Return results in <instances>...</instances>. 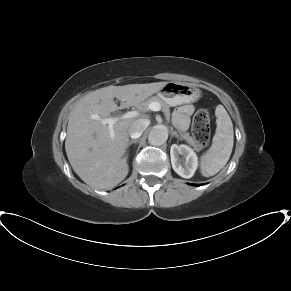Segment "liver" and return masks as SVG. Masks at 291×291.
Wrapping results in <instances>:
<instances>
[{"label":"liver","mask_w":291,"mask_h":291,"mask_svg":"<svg viewBox=\"0 0 291 291\" xmlns=\"http://www.w3.org/2000/svg\"><path fill=\"white\" fill-rule=\"evenodd\" d=\"M166 83L111 85L92 91L77 102L69 115L65 150L73 170L85 183L109 189L126 178L129 167L124 154L129 143L128 129L136 119L115 123L114 138L100 119L118 109L140 105ZM114 98L121 101L120 107Z\"/></svg>","instance_id":"1"}]
</instances>
